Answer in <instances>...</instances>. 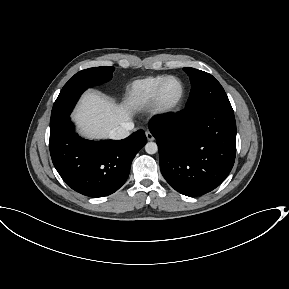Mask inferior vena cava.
<instances>
[{"label":"inferior vena cava","instance_id":"obj_1","mask_svg":"<svg viewBox=\"0 0 289 289\" xmlns=\"http://www.w3.org/2000/svg\"><path fill=\"white\" fill-rule=\"evenodd\" d=\"M134 128V123L133 122H124L120 126L115 127L110 131L109 136L112 139H124L127 136H129L130 131Z\"/></svg>","mask_w":289,"mask_h":289}]
</instances>
